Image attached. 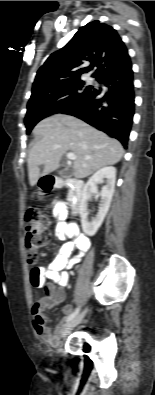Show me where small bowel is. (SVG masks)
<instances>
[{
    "mask_svg": "<svg viewBox=\"0 0 155 395\" xmlns=\"http://www.w3.org/2000/svg\"><path fill=\"white\" fill-rule=\"evenodd\" d=\"M53 218L56 220V234L59 239L66 242L62 245L58 255L44 267L43 263H38L37 267H29V281L30 288L33 292H46L47 286L45 281L57 284L64 288L69 282L68 269L77 265L90 247L89 238L80 233L77 226L73 223L66 222L67 206L63 202H57L53 207ZM64 295L61 293L55 297H45L39 302L35 303L31 308L32 323L36 334L46 343L51 346H56L59 343L60 331L62 322H60L55 332L52 333L46 324V319L43 315L45 309L53 307L56 302L63 299ZM71 306L64 308V315L69 314Z\"/></svg>",
    "mask_w": 155,
    "mask_h": 395,
    "instance_id": "1",
    "label": "small bowel"
}]
</instances>
